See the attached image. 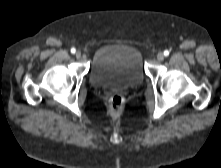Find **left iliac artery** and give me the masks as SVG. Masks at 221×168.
<instances>
[{
  "label": "left iliac artery",
  "mask_w": 221,
  "mask_h": 168,
  "mask_svg": "<svg viewBox=\"0 0 221 168\" xmlns=\"http://www.w3.org/2000/svg\"><path fill=\"white\" fill-rule=\"evenodd\" d=\"M164 55H165V56H168V55H169V51H168V50H165V51H164Z\"/></svg>",
  "instance_id": "44dca946"
}]
</instances>
